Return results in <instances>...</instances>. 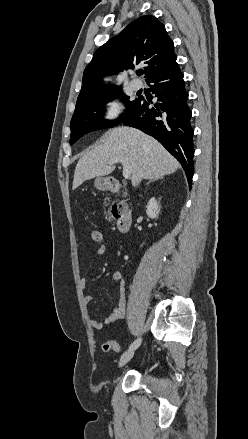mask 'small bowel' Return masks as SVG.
<instances>
[{"label": "small bowel", "mask_w": 248, "mask_h": 439, "mask_svg": "<svg viewBox=\"0 0 248 439\" xmlns=\"http://www.w3.org/2000/svg\"><path fill=\"white\" fill-rule=\"evenodd\" d=\"M105 252H106L105 244L99 245L95 251L96 255H103ZM112 279L119 286L118 304L107 315L104 322H99L97 320H90L91 327L96 330H101L104 327V325H109L121 321L126 316V285H125L124 277L120 271H115L112 275ZM81 288L82 289L86 288V283L84 279L81 281ZM84 301L85 303L88 304L93 301V297L91 295H87L84 297Z\"/></svg>", "instance_id": "small-bowel-1"}]
</instances>
